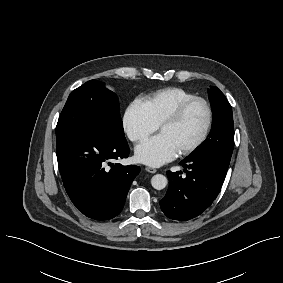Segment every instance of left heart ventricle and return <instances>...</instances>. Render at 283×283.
<instances>
[{"instance_id":"1","label":"left heart ventricle","mask_w":283,"mask_h":283,"mask_svg":"<svg viewBox=\"0 0 283 283\" xmlns=\"http://www.w3.org/2000/svg\"><path fill=\"white\" fill-rule=\"evenodd\" d=\"M206 121V110L202 104L197 103L186 112L179 123L162 127L160 134L165 135L179 152L200 137Z\"/></svg>"}]
</instances>
